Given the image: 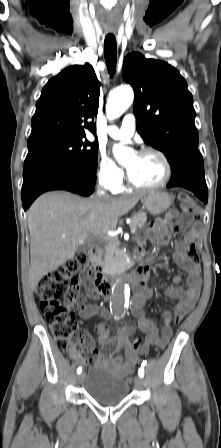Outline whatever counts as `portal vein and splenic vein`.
I'll list each match as a JSON object with an SVG mask.
<instances>
[{
  "label": "portal vein and splenic vein",
  "instance_id": "18ae733b",
  "mask_svg": "<svg viewBox=\"0 0 221 448\" xmlns=\"http://www.w3.org/2000/svg\"><path fill=\"white\" fill-rule=\"evenodd\" d=\"M130 228H131V234H134L135 232H136V228L135 227H132V226H130ZM91 236H89L87 239H89Z\"/></svg>",
  "mask_w": 221,
  "mask_h": 448
}]
</instances>
